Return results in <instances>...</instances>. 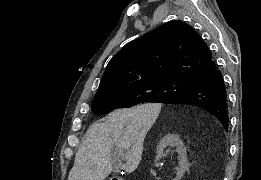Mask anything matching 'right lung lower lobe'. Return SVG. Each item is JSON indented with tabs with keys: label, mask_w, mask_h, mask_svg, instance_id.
<instances>
[{
	"label": "right lung lower lobe",
	"mask_w": 261,
	"mask_h": 180,
	"mask_svg": "<svg viewBox=\"0 0 261 180\" xmlns=\"http://www.w3.org/2000/svg\"><path fill=\"white\" fill-rule=\"evenodd\" d=\"M191 90L172 98L166 104L197 106L214 115L225 129L229 123V107L223 76L217 67L202 73Z\"/></svg>",
	"instance_id": "obj_1"
}]
</instances>
